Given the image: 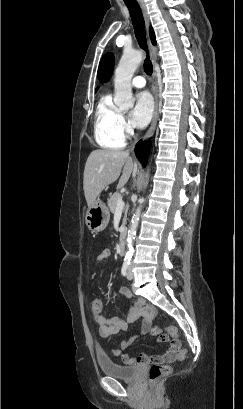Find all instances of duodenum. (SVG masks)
I'll list each match as a JSON object with an SVG mask.
<instances>
[{
  "label": "duodenum",
  "mask_w": 243,
  "mask_h": 409,
  "mask_svg": "<svg viewBox=\"0 0 243 409\" xmlns=\"http://www.w3.org/2000/svg\"><path fill=\"white\" fill-rule=\"evenodd\" d=\"M118 251H119V254H120V255H124V254H125L126 245H125V241H124L123 239H122V240L120 241V243H119Z\"/></svg>",
  "instance_id": "duodenum-1"
}]
</instances>
